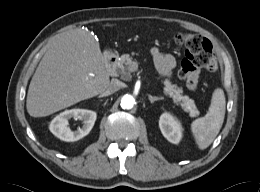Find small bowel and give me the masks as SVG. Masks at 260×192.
<instances>
[{"mask_svg":"<svg viewBox=\"0 0 260 192\" xmlns=\"http://www.w3.org/2000/svg\"><path fill=\"white\" fill-rule=\"evenodd\" d=\"M150 53L159 73L167 77L170 76L176 66L175 58L171 54L163 53L157 46L152 47Z\"/></svg>","mask_w":260,"mask_h":192,"instance_id":"small-bowel-1","label":"small bowel"}]
</instances>
